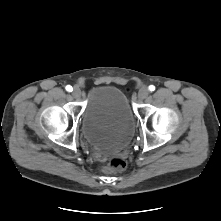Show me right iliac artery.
I'll use <instances>...</instances> for the list:
<instances>
[{"label": "right iliac artery", "mask_w": 221, "mask_h": 221, "mask_svg": "<svg viewBox=\"0 0 221 221\" xmlns=\"http://www.w3.org/2000/svg\"><path fill=\"white\" fill-rule=\"evenodd\" d=\"M68 92H72L73 88L70 85H67L65 88Z\"/></svg>", "instance_id": "82829eb1"}]
</instances>
